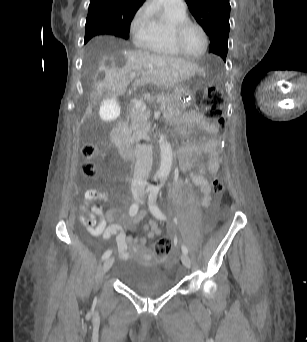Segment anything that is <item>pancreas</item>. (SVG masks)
<instances>
[{"label": "pancreas", "mask_w": 307, "mask_h": 342, "mask_svg": "<svg viewBox=\"0 0 307 342\" xmlns=\"http://www.w3.org/2000/svg\"><path fill=\"white\" fill-rule=\"evenodd\" d=\"M174 99L175 96L173 94H170L166 98H161L159 102L160 106L165 108L164 118H166V120H169V118H176V116H180L179 108H173V106H169V104H171ZM131 120L132 122H136V120H142V122H146L147 116H144V114H138V112H133Z\"/></svg>", "instance_id": "1"}]
</instances>
